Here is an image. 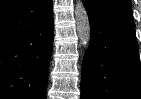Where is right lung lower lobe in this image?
I'll return each instance as SVG.
<instances>
[{"label": "right lung lower lobe", "mask_w": 141, "mask_h": 99, "mask_svg": "<svg viewBox=\"0 0 141 99\" xmlns=\"http://www.w3.org/2000/svg\"><path fill=\"white\" fill-rule=\"evenodd\" d=\"M53 28L52 0L0 9V99H46Z\"/></svg>", "instance_id": "98d812e1"}]
</instances>
